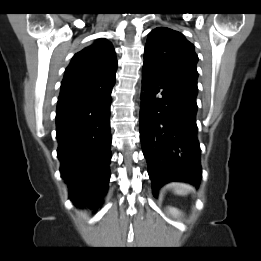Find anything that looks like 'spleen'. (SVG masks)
Returning <instances> with one entry per match:
<instances>
[{
  "mask_svg": "<svg viewBox=\"0 0 261 261\" xmlns=\"http://www.w3.org/2000/svg\"><path fill=\"white\" fill-rule=\"evenodd\" d=\"M170 187L173 189L175 194L178 195H187L191 190L192 187L185 183H172Z\"/></svg>",
  "mask_w": 261,
  "mask_h": 261,
  "instance_id": "obj_1",
  "label": "spleen"
}]
</instances>
